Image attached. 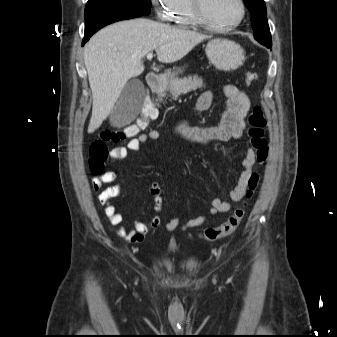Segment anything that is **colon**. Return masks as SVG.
Wrapping results in <instances>:
<instances>
[{
	"instance_id": "colon-1",
	"label": "colon",
	"mask_w": 337,
	"mask_h": 337,
	"mask_svg": "<svg viewBox=\"0 0 337 337\" xmlns=\"http://www.w3.org/2000/svg\"><path fill=\"white\" fill-rule=\"evenodd\" d=\"M246 82L249 86H254L258 82V75L255 72H247L245 75ZM145 100L140 101L142 109L140 117L135 123L124 128L115 130H105L100 133L99 137L91 142L89 146V168L92 173L98 174L102 171L105 160L108 157L107 142H119L128 138L137 136L142 130L148 128L151 119H157L155 102L156 97L152 91L146 92ZM251 146L255 151L257 162L263 165L268 158L269 145L265 137L264 128L266 119L263 110L255 106L248 116ZM259 174L252 173L248 180L246 192L247 198H251L259 183ZM246 214V204L235 209V211L220 225L204 229L200 237L204 241H215L219 238L231 235L240 225Z\"/></svg>"
}]
</instances>
